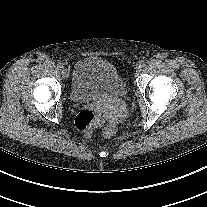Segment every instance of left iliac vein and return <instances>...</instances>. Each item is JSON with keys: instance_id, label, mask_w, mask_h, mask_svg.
<instances>
[{"instance_id": "4c4485c4", "label": "left iliac vein", "mask_w": 207, "mask_h": 207, "mask_svg": "<svg viewBox=\"0 0 207 207\" xmlns=\"http://www.w3.org/2000/svg\"><path fill=\"white\" fill-rule=\"evenodd\" d=\"M142 64L141 63H138L137 65H136V71L137 72H140L141 71V69H142Z\"/></svg>"}]
</instances>
